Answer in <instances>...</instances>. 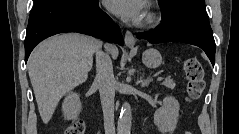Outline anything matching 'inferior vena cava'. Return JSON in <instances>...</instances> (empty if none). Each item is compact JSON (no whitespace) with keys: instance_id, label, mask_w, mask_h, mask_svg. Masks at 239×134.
Instances as JSON below:
<instances>
[{"instance_id":"1","label":"inferior vena cava","mask_w":239,"mask_h":134,"mask_svg":"<svg viewBox=\"0 0 239 134\" xmlns=\"http://www.w3.org/2000/svg\"><path fill=\"white\" fill-rule=\"evenodd\" d=\"M96 78L99 87L105 134H115L114 124V96L115 79L112 61L107 53L99 51L96 53Z\"/></svg>"}]
</instances>
